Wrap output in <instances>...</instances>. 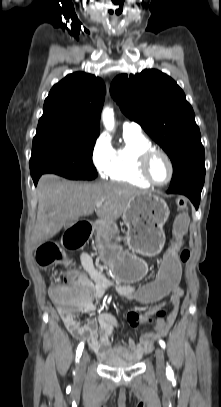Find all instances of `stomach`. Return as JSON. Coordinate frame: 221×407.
<instances>
[{"mask_svg":"<svg viewBox=\"0 0 221 407\" xmlns=\"http://www.w3.org/2000/svg\"><path fill=\"white\" fill-rule=\"evenodd\" d=\"M169 214L165 200L155 194L142 193L129 200L122 218L127 226L130 252L114 251L111 260L113 271L121 281L133 283L144 276L146 264L137 255L150 257L161 252L165 242L163 226Z\"/></svg>","mask_w":221,"mask_h":407,"instance_id":"1","label":"stomach"}]
</instances>
